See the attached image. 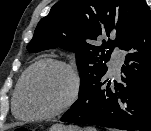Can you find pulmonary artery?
<instances>
[{"mask_svg": "<svg viewBox=\"0 0 151 131\" xmlns=\"http://www.w3.org/2000/svg\"><path fill=\"white\" fill-rule=\"evenodd\" d=\"M122 59H123V57L120 53L113 54L111 61H110V67L114 73H117L119 71V68L122 63Z\"/></svg>", "mask_w": 151, "mask_h": 131, "instance_id": "1", "label": "pulmonary artery"}]
</instances>
